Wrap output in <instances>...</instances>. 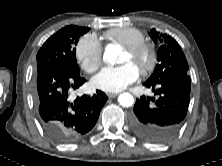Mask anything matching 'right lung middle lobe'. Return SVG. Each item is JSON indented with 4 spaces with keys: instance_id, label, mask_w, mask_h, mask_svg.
Segmentation results:
<instances>
[{
    "instance_id": "1",
    "label": "right lung middle lobe",
    "mask_w": 222,
    "mask_h": 166,
    "mask_svg": "<svg viewBox=\"0 0 222 166\" xmlns=\"http://www.w3.org/2000/svg\"><path fill=\"white\" fill-rule=\"evenodd\" d=\"M90 28L69 25L52 35L37 54V73L54 67H62L79 73L75 56V45L81 35Z\"/></svg>"
}]
</instances>
